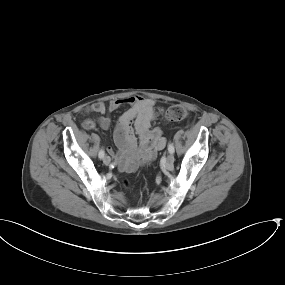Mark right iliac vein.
Returning <instances> with one entry per match:
<instances>
[{
	"instance_id": "obj_1",
	"label": "right iliac vein",
	"mask_w": 285,
	"mask_h": 285,
	"mask_svg": "<svg viewBox=\"0 0 285 285\" xmlns=\"http://www.w3.org/2000/svg\"><path fill=\"white\" fill-rule=\"evenodd\" d=\"M103 162L105 165H109L111 163V158L108 155H106L103 157Z\"/></svg>"
}]
</instances>
